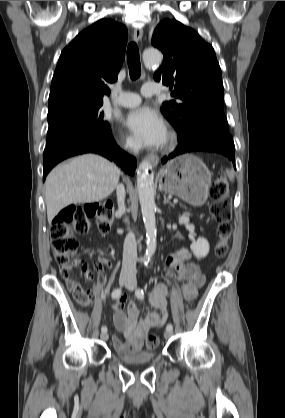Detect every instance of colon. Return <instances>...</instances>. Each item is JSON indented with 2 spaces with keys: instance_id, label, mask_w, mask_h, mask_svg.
I'll use <instances>...</instances> for the list:
<instances>
[{
  "instance_id": "5ec220e1",
  "label": "colon",
  "mask_w": 285,
  "mask_h": 418,
  "mask_svg": "<svg viewBox=\"0 0 285 418\" xmlns=\"http://www.w3.org/2000/svg\"><path fill=\"white\" fill-rule=\"evenodd\" d=\"M210 197L212 199L209 207L210 215L218 223L216 229L217 240L213 253L216 258L221 259L228 252L227 240L231 232V206L228 200V187L224 174H219L211 185ZM89 219H95L98 223V230L105 233L113 223L111 208L98 202L68 205L51 222L50 237L53 254L61 265L63 275L67 272L66 267L72 264L73 259L79 252L76 235L85 234L91 228ZM92 265L94 268L100 269L106 264L99 258H93ZM82 268L86 276L91 275L85 265ZM72 290L77 301L87 303L90 300L88 290L76 281L72 285ZM158 343L159 337L152 335L146 339L145 347L147 350H153Z\"/></svg>"
}]
</instances>
